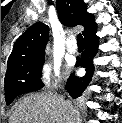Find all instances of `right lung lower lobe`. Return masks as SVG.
Listing matches in <instances>:
<instances>
[{
	"label": "right lung lower lobe",
	"instance_id": "obj_1",
	"mask_svg": "<svg viewBox=\"0 0 122 123\" xmlns=\"http://www.w3.org/2000/svg\"><path fill=\"white\" fill-rule=\"evenodd\" d=\"M96 31L97 29L84 37L86 48L82 53L81 58H78L76 63V66L81 65L86 69L85 76L79 78L72 74L67 81L66 89L72 98L80 97L92 79L94 73L93 58L98 51V38L96 36Z\"/></svg>",
	"mask_w": 122,
	"mask_h": 123
}]
</instances>
